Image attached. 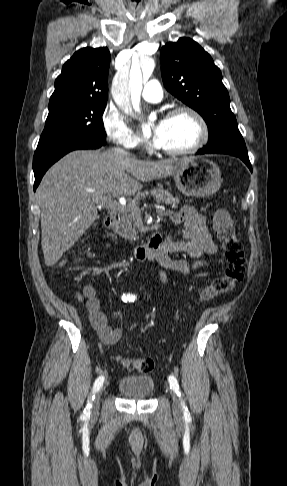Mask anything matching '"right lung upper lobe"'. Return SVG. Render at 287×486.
Wrapping results in <instances>:
<instances>
[{"instance_id":"cb5924a9","label":"right lung upper lobe","mask_w":287,"mask_h":486,"mask_svg":"<svg viewBox=\"0 0 287 486\" xmlns=\"http://www.w3.org/2000/svg\"><path fill=\"white\" fill-rule=\"evenodd\" d=\"M110 52L107 47L82 48L63 65L49 107L83 100H107Z\"/></svg>"}]
</instances>
